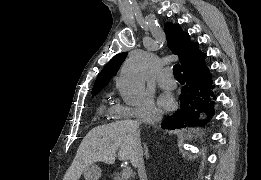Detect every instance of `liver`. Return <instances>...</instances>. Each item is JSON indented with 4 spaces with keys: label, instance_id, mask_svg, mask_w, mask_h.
Instances as JSON below:
<instances>
[{
    "label": "liver",
    "instance_id": "1",
    "mask_svg": "<svg viewBox=\"0 0 261 180\" xmlns=\"http://www.w3.org/2000/svg\"><path fill=\"white\" fill-rule=\"evenodd\" d=\"M139 124L135 120H119L105 126H97L82 140L77 154L69 168V180H79L84 170L95 164L105 162L114 164L118 160H134L141 148Z\"/></svg>",
    "mask_w": 261,
    "mask_h": 180
}]
</instances>
